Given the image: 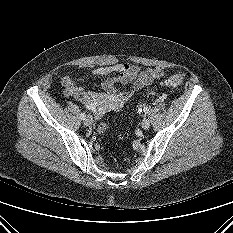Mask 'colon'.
<instances>
[{
	"mask_svg": "<svg viewBox=\"0 0 233 233\" xmlns=\"http://www.w3.org/2000/svg\"><path fill=\"white\" fill-rule=\"evenodd\" d=\"M183 82V75L181 74H174L172 76H170L169 78H167L164 82L163 85L168 86V87H177L179 86L181 83ZM143 106V103H141L139 105V107L141 108ZM108 125L102 123L99 125L98 127V131L100 133H105L108 130Z\"/></svg>",
	"mask_w": 233,
	"mask_h": 233,
	"instance_id": "colon-1",
	"label": "colon"
}]
</instances>
